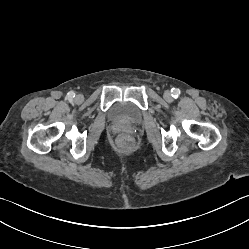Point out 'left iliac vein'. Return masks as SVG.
Returning a JSON list of instances; mask_svg holds the SVG:
<instances>
[{
    "label": "left iliac vein",
    "mask_w": 249,
    "mask_h": 249,
    "mask_svg": "<svg viewBox=\"0 0 249 249\" xmlns=\"http://www.w3.org/2000/svg\"><path fill=\"white\" fill-rule=\"evenodd\" d=\"M164 99L168 102H171L173 100L172 94L170 91H166L164 93Z\"/></svg>",
    "instance_id": "left-iliac-vein-1"
}]
</instances>
